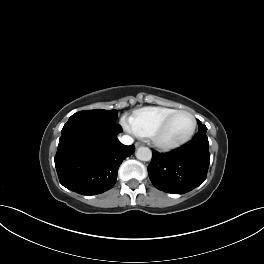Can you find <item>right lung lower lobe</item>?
I'll list each match as a JSON object with an SVG mask.
<instances>
[{
	"label": "right lung lower lobe",
	"instance_id": "obj_1",
	"mask_svg": "<svg viewBox=\"0 0 264 264\" xmlns=\"http://www.w3.org/2000/svg\"><path fill=\"white\" fill-rule=\"evenodd\" d=\"M119 124L69 119L62 129L55 166L60 183L82 195H95L116 183L122 161L135 151L119 142Z\"/></svg>",
	"mask_w": 264,
	"mask_h": 264
}]
</instances>
